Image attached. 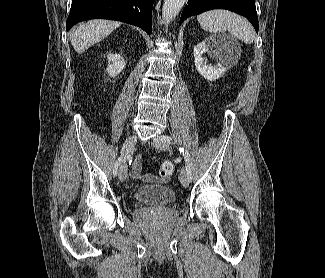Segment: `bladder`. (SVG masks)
<instances>
[{"label":"bladder","mask_w":325,"mask_h":278,"mask_svg":"<svg viewBox=\"0 0 325 278\" xmlns=\"http://www.w3.org/2000/svg\"><path fill=\"white\" fill-rule=\"evenodd\" d=\"M136 199L145 205L166 206L176 201V194L167 185L145 184L138 189Z\"/></svg>","instance_id":"obj_1"}]
</instances>
